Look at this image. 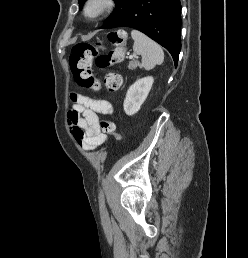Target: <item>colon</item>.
I'll return each instance as SVG.
<instances>
[{
	"mask_svg": "<svg viewBox=\"0 0 248 258\" xmlns=\"http://www.w3.org/2000/svg\"><path fill=\"white\" fill-rule=\"evenodd\" d=\"M108 41L114 45V50L107 54H101L102 42L96 46L87 43L75 44L69 56V65L75 82L84 88L99 90L102 84L110 91H115L120 86L117 77L109 75L103 82L92 71V65L104 69L121 62L127 51V35L123 30L112 31L108 34ZM101 130L106 134L114 135L120 139L112 121L104 120L100 123Z\"/></svg>",
	"mask_w": 248,
	"mask_h": 258,
	"instance_id": "obj_1",
	"label": "colon"
}]
</instances>
